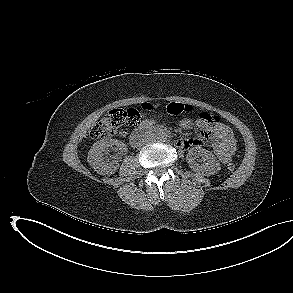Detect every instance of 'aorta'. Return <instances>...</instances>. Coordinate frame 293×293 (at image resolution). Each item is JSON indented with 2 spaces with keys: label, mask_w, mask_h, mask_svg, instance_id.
I'll list each match as a JSON object with an SVG mask.
<instances>
[{
  "label": "aorta",
  "mask_w": 293,
  "mask_h": 293,
  "mask_svg": "<svg viewBox=\"0 0 293 293\" xmlns=\"http://www.w3.org/2000/svg\"><path fill=\"white\" fill-rule=\"evenodd\" d=\"M157 139L160 141V142H165L167 140V134L166 133H162L160 134Z\"/></svg>",
  "instance_id": "1"
}]
</instances>
